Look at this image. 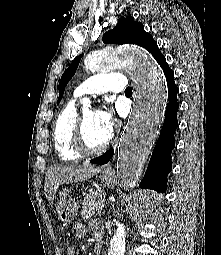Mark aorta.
<instances>
[{
	"mask_svg": "<svg viewBox=\"0 0 221 255\" xmlns=\"http://www.w3.org/2000/svg\"><path fill=\"white\" fill-rule=\"evenodd\" d=\"M90 70L106 71L123 67L132 73L139 84L128 127L118 147L116 164L121 185L130 189L137 185L163 120L166 97L164 81L153 58L135 46L117 48L112 52H92L85 58ZM84 102L90 104L89 99ZM126 228L119 225L111 239L108 255H124Z\"/></svg>",
	"mask_w": 221,
	"mask_h": 255,
	"instance_id": "1",
	"label": "aorta"
}]
</instances>
